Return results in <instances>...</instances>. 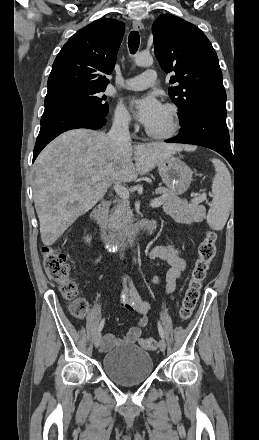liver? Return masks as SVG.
<instances>
[{"mask_svg":"<svg viewBox=\"0 0 259 440\" xmlns=\"http://www.w3.org/2000/svg\"><path fill=\"white\" fill-rule=\"evenodd\" d=\"M185 145H117L104 133L74 129L59 135L38 156L33 198L44 245L51 246L78 217L92 209L112 183L134 181ZM99 176L101 179L94 180Z\"/></svg>","mask_w":259,"mask_h":440,"instance_id":"obj_1","label":"liver"}]
</instances>
